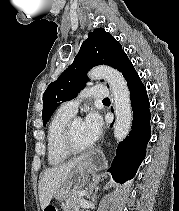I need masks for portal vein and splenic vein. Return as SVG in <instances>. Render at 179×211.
Segmentation results:
<instances>
[{
  "label": "portal vein and splenic vein",
  "instance_id": "portal-vein-and-splenic-vein-1",
  "mask_svg": "<svg viewBox=\"0 0 179 211\" xmlns=\"http://www.w3.org/2000/svg\"><path fill=\"white\" fill-rule=\"evenodd\" d=\"M85 194H86L85 191H81V192L79 193L80 196H83V195H85Z\"/></svg>",
  "mask_w": 179,
  "mask_h": 211
}]
</instances>
